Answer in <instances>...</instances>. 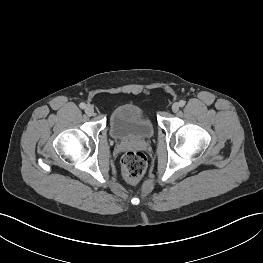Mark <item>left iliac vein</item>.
I'll use <instances>...</instances> for the list:
<instances>
[{
    "label": "left iliac vein",
    "mask_w": 263,
    "mask_h": 263,
    "mask_svg": "<svg viewBox=\"0 0 263 263\" xmlns=\"http://www.w3.org/2000/svg\"><path fill=\"white\" fill-rule=\"evenodd\" d=\"M179 108H180L179 103H177V102L173 103V105H172V111H173L174 113L178 112V111H179Z\"/></svg>",
    "instance_id": "left-iliac-vein-1"
}]
</instances>
